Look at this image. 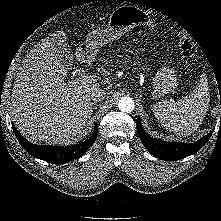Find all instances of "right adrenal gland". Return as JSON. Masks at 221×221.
<instances>
[{"label":"right adrenal gland","mask_w":221,"mask_h":221,"mask_svg":"<svg viewBox=\"0 0 221 221\" xmlns=\"http://www.w3.org/2000/svg\"><path fill=\"white\" fill-rule=\"evenodd\" d=\"M95 105H96V102H92V103L90 104V117H91V115H92L93 110L95 109Z\"/></svg>","instance_id":"obj_1"}]
</instances>
